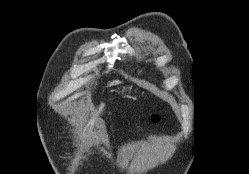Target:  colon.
Returning <instances> with one entry per match:
<instances>
[{"label": "colon", "mask_w": 249, "mask_h": 174, "mask_svg": "<svg viewBox=\"0 0 249 174\" xmlns=\"http://www.w3.org/2000/svg\"><path fill=\"white\" fill-rule=\"evenodd\" d=\"M158 120H159V116L158 115H153L151 117V121H153V122H157Z\"/></svg>", "instance_id": "obj_1"}]
</instances>
